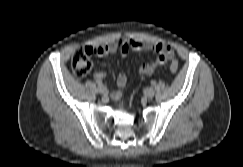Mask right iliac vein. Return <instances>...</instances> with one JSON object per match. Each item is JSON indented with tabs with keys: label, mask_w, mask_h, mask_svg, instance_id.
Returning <instances> with one entry per match:
<instances>
[{
	"label": "right iliac vein",
	"mask_w": 243,
	"mask_h": 167,
	"mask_svg": "<svg viewBox=\"0 0 243 167\" xmlns=\"http://www.w3.org/2000/svg\"><path fill=\"white\" fill-rule=\"evenodd\" d=\"M98 92L101 94V95H106L107 94V89L105 87H98Z\"/></svg>",
	"instance_id": "right-iliac-vein-1"
}]
</instances>
